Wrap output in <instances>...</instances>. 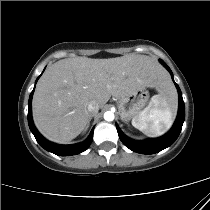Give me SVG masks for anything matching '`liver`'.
I'll return each instance as SVG.
<instances>
[{"label":"liver","instance_id":"liver-1","mask_svg":"<svg viewBox=\"0 0 210 210\" xmlns=\"http://www.w3.org/2000/svg\"><path fill=\"white\" fill-rule=\"evenodd\" d=\"M168 84L162 66L145 55L62 59L45 70L36 86L33 120L47 139L68 143L85 130L90 102L102 108L111 96L123 98L146 87L161 93Z\"/></svg>","mask_w":210,"mask_h":210}]
</instances>
